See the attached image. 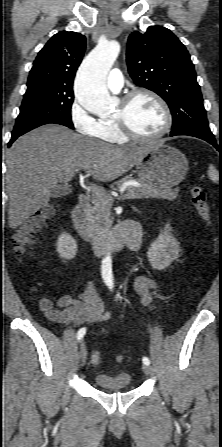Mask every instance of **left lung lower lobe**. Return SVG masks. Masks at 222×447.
<instances>
[{
  "label": "left lung lower lobe",
  "mask_w": 222,
  "mask_h": 447,
  "mask_svg": "<svg viewBox=\"0 0 222 447\" xmlns=\"http://www.w3.org/2000/svg\"><path fill=\"white\" fill-rule=\"evenodd\" d=\"M175 135H189V136H193V137H197L200 139H203L205 141H207L208 143L212 144L217 150H219L220 152H222V147H220L214 136H209V135H202L196 132H191V131H181V132H177V133H171V136H175Z\"/></svg>",
  "instance_id": "0a47b994"
}]
</instances>
